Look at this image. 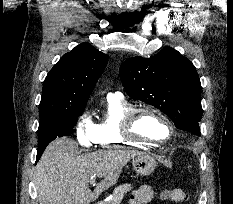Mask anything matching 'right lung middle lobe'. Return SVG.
Listing matches in <instances>:
<instances>
[{
  "label": "right lung middle lobe",
  "mask_w": 233,
  "mask_h": 204,
  "mask_svg": "<svg viewBox=\"0 0 233 204\" xmlns=\"http://www.w3.org/2000/svg\"><path fill=\"white\" fill-rule=\"evenodd\" d=\"M83 109L70 111L65 114L40 117L39 145L48 144L56 137H63L72 133L73 127L82 114Z\"/></svg>",
  "instance_id": "dd1d6c3e"
}]
</instances>
